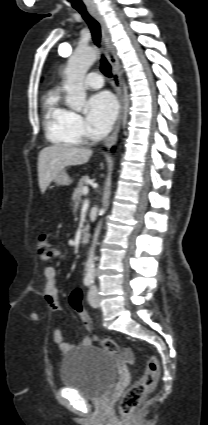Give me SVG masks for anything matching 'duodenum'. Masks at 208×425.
Here are the masks:
<instances>
[{
    "label": "duodenum",
    "instance_id": "obj_1",
    "mask_svg": "<svg viewBox=\"0 0 208 425\" xmlns=\"http://www.w3.org/2000/svg\"><path fill=\"white\" fill-rule=\"evenodd\" d=\"M80 240L82 243H87L89 240V232L87 229H83L81 232Z\"/></svg>",
    "mask_w": 208,
    "mask_h": 425
}]
</instances>
